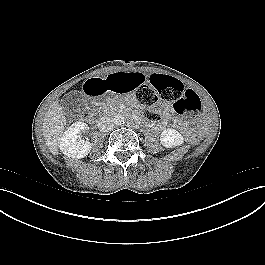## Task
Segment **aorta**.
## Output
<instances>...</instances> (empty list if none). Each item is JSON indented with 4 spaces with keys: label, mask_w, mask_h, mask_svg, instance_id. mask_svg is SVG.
<instances>
[{
    "label": "aorta",
    "mask_w": 265,
    "mask_h": 265,
    "mask_svg": "<svg viewBox=\"0 0 265 265\" xmlns=\"http://www.w3.org/2000/svg\"><path fill=\"white\" fill-rule=\"evenodd\" d=\"M113 122L115 125H122L125 123V117L122 114H115L113 116Z\"/></svg>",
    "instance_id": "762f6f07"
}]
</instances>
